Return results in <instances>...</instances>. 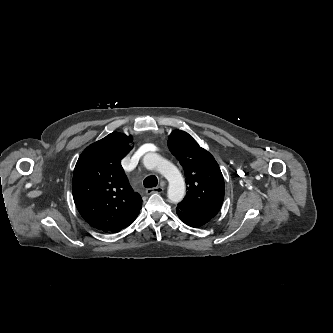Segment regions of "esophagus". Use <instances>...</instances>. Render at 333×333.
<instances>
[{
    "label": "esophagus",
    "instance_id": "1",
    "mask_svg": "<svg viewBox=\"0 0 333 333\" xmlns=\"http://www.w3.org/2000/svg\"><path fill=\"white\" fill-rule=\"evenodd\" d=\"M163 187H155V188H148L146 189V194L150 195L153 193H162L163 192Z\"/></svg>",
    "mask_w": 333,
    "mask_h": 333
}]
</instances>
